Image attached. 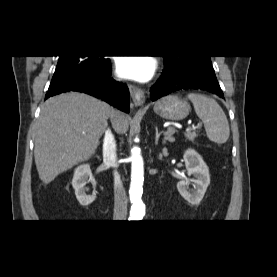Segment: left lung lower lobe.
<instances>
[{"label":"left lung lower lobe","mask_w":277,"mask_h":277,"mask_svg":"<svg viewBox=\"0 0 277 277\" xmlns=\"http://www.w3.org/2000/svg\"><path fill=\"white\" fill-rule=\"evenodd\" d=\"M180 89H199L224 98L212 67H193L185 70L165 68L162 75L152 86V101Z\"/></svg>","instance_id":"0a47b994"}]
</instances>
